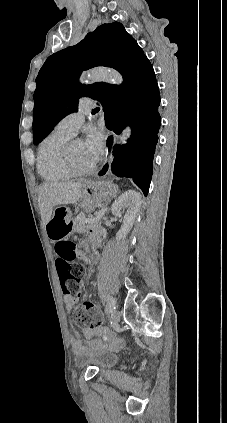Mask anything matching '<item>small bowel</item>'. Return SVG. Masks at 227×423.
Segmentation results:
<instances>
[{"label": "small bowel", "mask_w": 227, "mask_h": 423, "mask_svg": "<svg viewBox=\"0 0 227 423\" xmlns=\"http://www.w3.org/2000/svg\"><path fill=\"white\" fill-rule=\"evenodd\" d=\"M61 221H64V220L54 218L51 221H49V223L47 225L48 235L53 242H55V241L53 240V238L51 236V228L53 227V225L56 222H61ZM78 299H79V297L77 295L76 296L64 295V302H65L66 311H68V312L71 311L73 309V307L75 306V304L77 303ZM84 335L88 339H92V338L101 336L105 341L113 342V337L103 329H87V330L84 331ZM72 345H73V349L76 353H81L85 349V347L82 345V343L80 342V340L77 337H74L72 339Z\"/></svg>", "instance_id": "c3829d8e"}]
</instances>
